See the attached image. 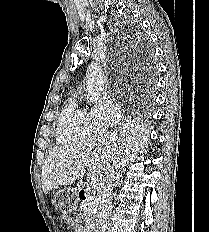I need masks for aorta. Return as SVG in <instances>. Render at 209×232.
I'll use <instances>...</instances> for the list:
<instances>
[{"label":"aorta","instance_id":"1","mask_svg":"<svg viewBox=\"0 0 209 232\" xmlns=\"http://www.w3.org/2000/svg\"><path fill=\"white\" fill-rule=\"evenodd\" d=\"M86 85L89 101L96 102L104 89V74L99 62H91L86 71Z\"/></svg>","mask_w":209,"mask_h":232}]
</instances>
